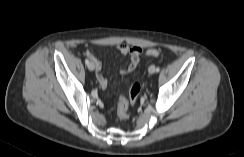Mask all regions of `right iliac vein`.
I'll return each mask as SVG.
<instances>
[{"label": "right iliac vein", "instance_id": "63e3f726", "mask_svg": "<svg viewBox=\"0 0 244 157\" xmlns=\"http://www.w3.org/2000/svg\"><path fill=\"white\" fill-rule=\"evenodd\" d=\"M88 69H89L90 71H93V70H94V65H93L92 63H89V64H88Z\"/></svg>", "mask_w": 244, "mask_h": 157}]
</instances>
